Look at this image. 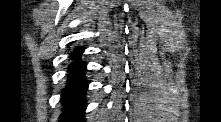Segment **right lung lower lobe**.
I'll list each match as a JSON object with an SVG mask.
<instances>
[{"instance_id": "obj_1", "label": "right lung lower lobe", "mask_w": 221, "mask_h": 122, "mask_svg": "<svg viewBox=\"0 0 221 122\" xmlns=\"http://www.w3.org/2000/svg\"><path fill=\"white\" fill-rule=\"evenodd\" d=\"M83 50L84 48H76L70 56L73 61L68 67L66 87L62 90L61 122H84L85 91L88 84L85 77L86 65L80 59Z\"/></svg>"}]
</instances>
